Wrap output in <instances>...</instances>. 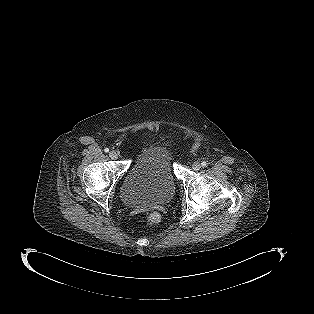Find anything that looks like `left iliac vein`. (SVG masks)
<instances>
[{"label":"left iliac vein","mask_w":314,"mask_h":314,"mask_svg":"<svg viewBox=\"0 0 314 314\" xmlns=\"http://www.w3.org/2000/svg\"><path fill=\"white\" fill-rule=\"evenodd\" d=\"M192 168L197 171L201 168V164L199 162H194Z\"/></svg>","instance_id":"left-iliac-vein-1"}]
</instances>
